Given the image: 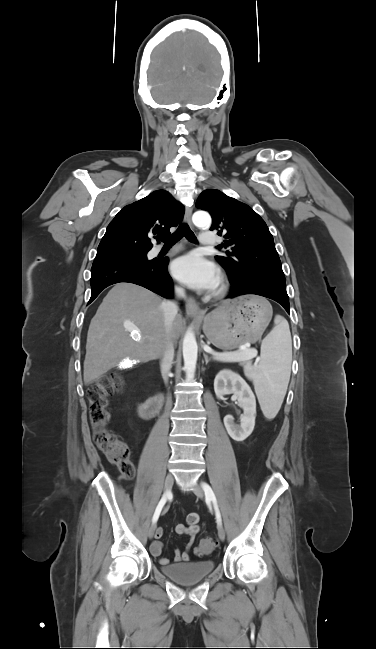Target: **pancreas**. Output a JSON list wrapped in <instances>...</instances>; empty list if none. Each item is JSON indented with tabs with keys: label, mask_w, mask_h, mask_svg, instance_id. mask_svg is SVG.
Here are the masks:
<instances>
[{
	"label": "pancreas",
	"mask_w": 376,
	"mask_h": 649,
	"mask_svg": "<svg viewBox=\"0 0 376 649\" xmlns=\"http://www.w3.org/2000/svg\"><path fill=\"white\" fill-rule=\"evenodd\" d=\"M246 352H247L246 350H241V351H238L236 353L245 354ZM241 365L249 367L251 365V361L250 360L244 361V362L241 363Z\"/></svg>",
	"instance_id": "cf45deb5"
}]
</instances>
